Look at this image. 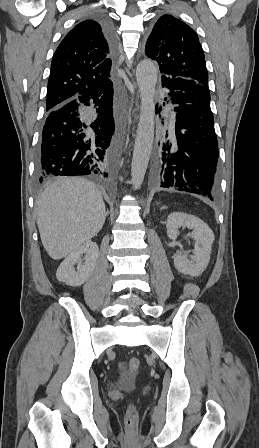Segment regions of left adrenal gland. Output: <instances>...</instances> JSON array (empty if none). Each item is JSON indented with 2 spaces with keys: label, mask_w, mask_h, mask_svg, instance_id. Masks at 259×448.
Returning a JSON list of instances; mask_svg holds the SVG:
<instances>
[{
  "label": "left adrenal gland",
  "mask_w": 259,
  "mask_h": 448,
  "mask_svg": "<svg viewBox=\"0 0 259 448\" xmlns=\"http://www.w3.org/2000/svg\"><path fill=\"white\" fill-rule=\"evenodd\" d=\"M167 206H163V208H160V210H166Z\"/></svg>",
  "instance_id": "obj_1"
}]
</instances>
